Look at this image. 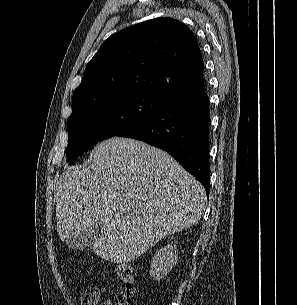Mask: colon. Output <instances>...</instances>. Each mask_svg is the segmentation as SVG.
<instances>
[{"label":"colon","mask_w":297,"mask_h":305,"mask_svg":"<svg viewBox=\"0 0 297 305\" xmlns=\"http://www.w3.org/2000/svg\"><path fill=\"white\" fill-rule=\"evenodd\" d=\"M118 276L121 281V288L116 299V305H130L136 292L133 266L130 264L119 265Z\"/></svg>","instance_id":"obj_1"}]
</instances>
